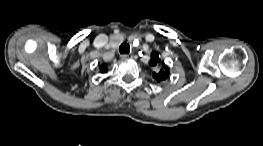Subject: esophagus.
Returning a JSON list of instances; mask_svg holds the SVG:
<instances>
[{
    "label": "esophagus",
    "instance_id": "esophagus-1",
    "mask_svg": "<svg viewBox=\"0 0 263 146\" xmlns=\"http://www.w3.org/2000/svg\"><path fill=\"white\" fill-rule=\"evenodd\" d=\"M120 58L121 59H127V58H129V55L128 54H122V55H120Z\"/></svg>",
    "mask_w": 263,
    "mask_h": 146
}]
</instances>
